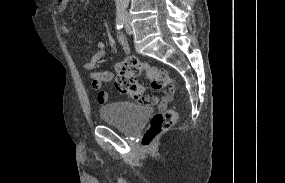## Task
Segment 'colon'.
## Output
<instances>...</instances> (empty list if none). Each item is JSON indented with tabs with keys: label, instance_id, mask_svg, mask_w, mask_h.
<instances>
[{
	"label": "colon",
	"instance_id": "colon-1",
	"mask_svg": "<svg viewBox=\"0 0 285 183\" xmlns=\"http://www.w3.org/2000/svg\"><path fill=\"white\" fill-rule=\"evenodd\" d=\"M64 2V0H60ZM116 78L115 87L123 94L135 99H141L142 102L152 104L156 102L153 97L143 98L144 88L137 82V77L141 74L151 81L152 87L160 89L164 86H173L174 81L164 69L157 68L149 63L142 62L134 56H128L123 61L115 65ZM162 109L156 113L150 121L149 127L142 138V145L150 148L155 139L164 131L170 129L177 121V112L166 108V99L159 102Z\"/></svg>",
	"mask_w": 285,
	"mask_h": 183
}]
</instances>
